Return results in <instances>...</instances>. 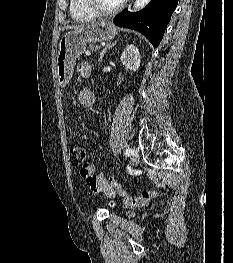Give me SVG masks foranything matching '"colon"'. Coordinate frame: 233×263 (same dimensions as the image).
Segmentation results:
<instances>
[{
    "instance_id": "obj_1",
    "label": "colon",
    "mask_w": 233,
    "mask_h": 263,
    "mask_svg": "<svg viewBox=\"0 0 233 263\" xmlns=\"http://www.w3.org/2000/svg\"><path fill=\"white\" fill-rule=\"evenodd\" d=\"M86 151L82 146H73L70 148V161L74 166H81L84 168L86 163ZM87 182L89 184H95L96 179L92 175L86 174ZM108 184L113 187L123 198L124 203L129 207H138L145 205L149 200L154 199L158 196L156 190H148L142 192L140 195L135 197H129L120 187V185L114 180H107Z\"/></svg>"
}]
</instances>
